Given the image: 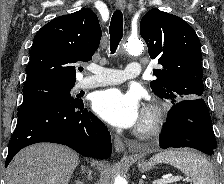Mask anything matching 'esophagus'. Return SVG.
<instances>
[{
    "mask_svg": "<svg viewBox=\"0 0 224 184\" xmlns=\"http://www.w3.org/2000/svg\"><path fill=\"white\" fill-rule=\"evenodd\" d=\"M115 6L117 9L124 10L125 6H126L125 0H117ZM114 147L117 152L125 151V145H124L122 139L117 135L114 136Z\"/></svg>",
    "mask_w": 224,
    "mask_h": 184,
    "instance_id": "1",
    "label": "esophagus"
}]
</instances>
